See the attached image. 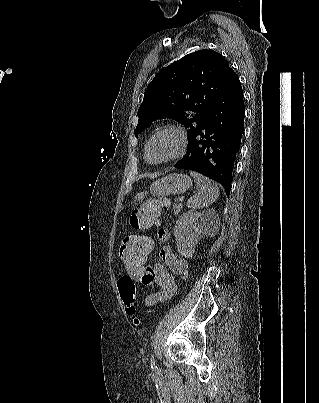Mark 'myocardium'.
<instances>
[{
	"label": "myocardium",
	"instance_id": "1",
	"mask_svg": "<svg viewBox=\"0 0 319 403\" xmlns=\"http://www.w3.org/2000/svg\"><path fill=\"white\" fill-rule=\"evenodd\" d=\"M164 133H172L176 136L177 148L171 155H169L168 157H166L164 159H161L159 161H150L148 159L149 146L158 136H160ZM187 147H188V137H187L185 130L179 125L167 124V125H164V126L158 128L157 130H155L154 133L149 137V139L147 140L145 147H144V157H145V160L149 163L164 164V163L175 161V160L183 157L187 151Z\"/></svg>",
	"mask_w": 319,
	"mask_h": 403
}]
</instances>
